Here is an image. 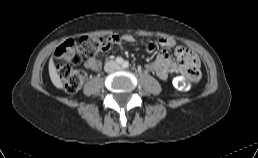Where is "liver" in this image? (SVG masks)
Returning <instances> with one entry per match:
<instances>
[{
  "label": "liver",
  "instance_id": "obj_1",
  "mask_svg": "<svg viewBox=\"0 0 258 158\" xmlns=\"http://www.w3.org/2000/svg\"><path fill=\"white\" fill-rule=\"evenodd\" d=\"M49 75H50V79H51L53 85L56 88H58V89L63 88L62 81H61L59 75L57 74V70H56V67L54 65L52 58L49 61Z\"/></svg>",
  "mask_w": 258,
  "mask_h": 158
}]
</instances>
